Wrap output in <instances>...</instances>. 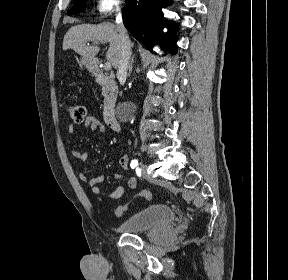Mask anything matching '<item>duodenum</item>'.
Here are the masks:
<instances>
[{"label": "duodenum", "instance_id": "1", "mask_svg": "<svg viewBox=\"0 0 288 280\" xmlns=\"http://www.w3.org/2000/svg\"><path fill=\"white\" fill-rule=\"evenodd\" d=\"M89 70L94 76L95 80L102 85L105 91V99L103 106V116L106 124L115 131L120 130V123L115 112L117 86L115 82L105 75L99 68L96 61H90Z\"/></svg>", "mask_w": 288, "mask_h": 280}]
</instances>
